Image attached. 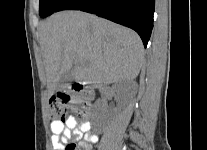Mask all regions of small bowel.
Segmentation results:
<instances>
[{
	"label": "small bowel",
	"instance_id": "small-bowel-1",
	"mask_svg": "<svg viewBox=\"0 0 207 150\" xmlns=\"http://www.w3.org/2000/svg\"><path fill=\"white\" fill-rule=\"evenodd\" d=\"M52 131V147L54 150H65L72 141H79L80 150H92V145L98 141V136L91 131L88 121L77 122L72 115L64 121L53 120L50 124Z\"/></svg>",
	"mask_w": 207,
	"mask_h": 150
}]
</instances>
